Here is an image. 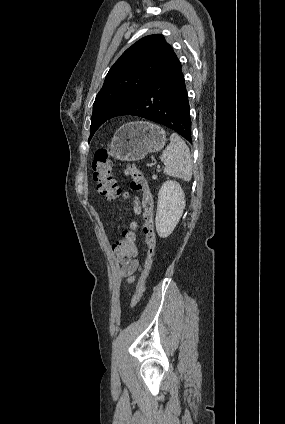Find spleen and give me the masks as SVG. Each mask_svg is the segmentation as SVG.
<instances>
[{"instance_id": "1", "label": "spleen", "mask_w": 285, "mask_h": 424, "mask_svg": "<svg viewBox=\"0 0 285 424\" xmlns=\"http://www.w3.org/2000/svg\"><path fill=\"white\" fill-rule=\"evenodd\" d=\"M164 162V173L189 181L192 177L193 160L184 140L177 134L170 136V144L161 155Z\"/></svg>"}]
</instances>
